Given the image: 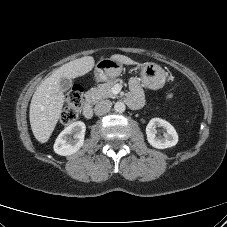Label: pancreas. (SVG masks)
Returning a JSON list of instances; mask_svg holds the SVG:
<instances>
[{
    "instance_id": "pancreas-1",
    "label": "pancreas",
    "mask_w": 227,
    "mask_h": 227,
    "mask_svg": "<svg viewBox=\"0 0 227 227\" xmlns=\"http://www.w3.org/2000/svg\"><path fill=\"white\" fill-rule=\"evenodd\" d=\"M118 81H107L98 87L91 88L85 93L86 100L90 103H98L99 101L107 98H115L116 95L112 92V87L117 84Z\"/></svg>"
}]
</instances>
